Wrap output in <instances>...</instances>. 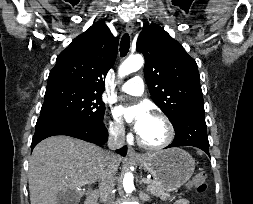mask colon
<instances>
[{
	"instance_id": "5ec220e1",
	"label": "colon",
	"mask_w": 253,
	"mask_h": 204,
	"mask_svg": "<svg viewBox=\"0 0 253 204\" xmlns=\"http://www.w3.org/2000/svg\"><path fill=\"white\" fill-rule=\"evenodd\" d=\"M206 174L203 172L197 173L193 179L192 184L198 193H205L207 190Z\"/></svg>"
}]
</instances>
